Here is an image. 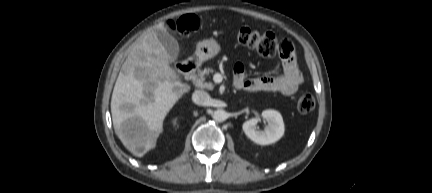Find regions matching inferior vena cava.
Wrapping results in <instances>:
<instances>
[{"label":"inferior vena cava","mask_w":432,"mask_h":193,"mask_svg":"<svg viewBox=\"0 0 432 193\" xmlns=\"http://www.w3.org/2000/svg\"><path fill=\"white\" fill-rule=\"evenodd\" d=\"M192 100L197 105L206 106L209 104L210 96L203 90H196L192 95Z\"/></svg>","instance_id":"1"}]
</instances>
